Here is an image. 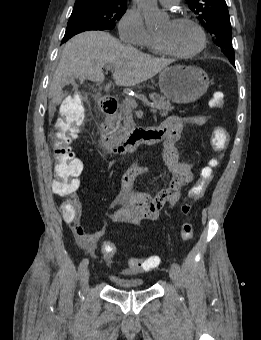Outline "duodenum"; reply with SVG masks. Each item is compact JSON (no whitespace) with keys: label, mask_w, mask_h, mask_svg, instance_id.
Segmentation results:
<instances>
[{"label":"duodenum","mask_w":261,"mask_h":340,"mask_svg":"<svg viewBox=\"0 0 261 340\" xmlns=\"http://www.w3.org/2000/svg\"><path fill=\"white\" fill-rule=\"evenodd\" d=\"M100 109L104 114V119L99 127L101 142L112 153L116 155L130 154L142 144L154 145L161 140L158 127L137 128L125 137L115 135L113 133V117L117 112L118 102L110 98L102 99Z\"/></svg>","instance_id":"1"}]
</instances>
